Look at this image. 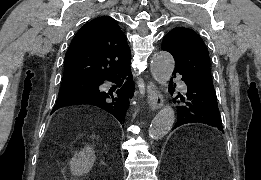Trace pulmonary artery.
<instances>
[{"mask_svg": "<svg viewBox=\"0 0 261 180\" xmlns=\"http://www.w3.org/2000/svg\"><path fill=\"white\" fill-rule=\"evenodd\" d=\"M169 83H178V78H169Z\"/></svg>", "mask_w": 261, "mask_h": 180, "instance_id": "1", "label": "pulmonary artery"}]
</instances>
